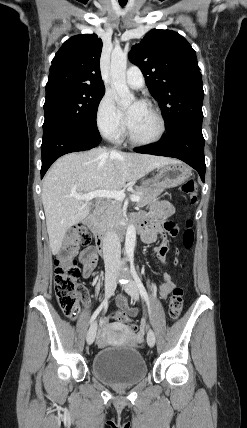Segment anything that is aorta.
Returning a JSON list of instances; mask_svg holds the SVG:
<instances>
[{
  "label": "aorta",
  "mask_w": 247,
  "mask_h": 428,
  "mask_svg": "<svg viewBox=\"0 0 247 428\" xmlns=\"http://www.w3.org/2000/svg\"><path fill=\"white\" fill-rule=\"evenodd\" d=\"M127 55L120 48H115L111 55V80L116 93L117 103L123 107L131 104L135 99L126 84ZM136 244V229L133 224L126 231L125 252L128 256L134 253Z\"/></svg>",
  "instance_id": "762f6f07"
}]
</instances>
